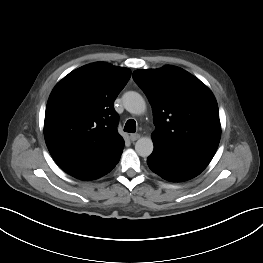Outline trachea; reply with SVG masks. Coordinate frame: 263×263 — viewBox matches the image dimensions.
Here are the masks:
<instances>
[{"label":"trachea","mask_w":263,"mask_h":263,"mask_svg":"<svg viewBox=\"0 0 263 263\" xmlns=\"http://www.w3.org/2000/svg\"><path fill=\"white\" fill-rule=\"evenodd\" d=\"M124 131L128 133H135L136 131V122L133 119H129L124 127Z\"/></svg>","instance_id":"trachea-1"}]
</instances>
